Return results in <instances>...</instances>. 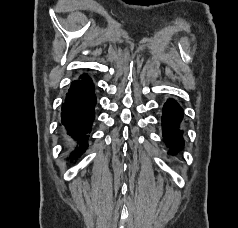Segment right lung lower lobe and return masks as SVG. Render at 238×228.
I'll return each mask as SVG.
<instances>
[{
	"instance_id": "98d812e1",
	"label": "right lung lower lobe",
	"mask_w": 238,
	"mask_h": 228,
	"mask_svg": "<svg viewBox=\"0 0 238 228\" xmlns=\"http://www.w3.org/2000/svg\"><path fill=\"white\" fill-rule=\"evenodd\" d=\"M95 104L94 85L88 76L72 82L65 102L62 104L61 124L78 144L72 153L74 158L86 150L87 133L91 131L95 117Z\"/></svg>"
}]
</instances>
